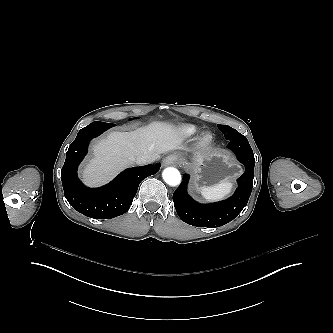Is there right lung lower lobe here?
<instances>
[{
  "label": "right lung lower lobe",
  "mask_w": 333,
  "mask_h": 333,
  "mask_svg": "<svg viewBox=\"0 0 333 333\" xmlns=\"http://www.w3.org/2000/svg\"><path fill=\"white\" fill-rule=\"evenodd\" d=\"M114 124L95 121L81 129L69 146L61 171L64 194L69 204L87 217L106 219L124 214L132 204L140 182L158 172L160 164L126 169L100 188H88L77 177V168L89 142Z\"/></svg>",
  "instance_id": "right-lung-lower-lobe-1"
}]
</instances>
